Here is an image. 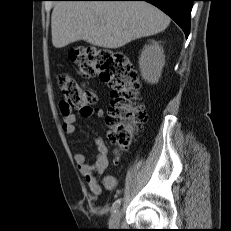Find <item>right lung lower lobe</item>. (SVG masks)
I'll return each instance as SVG.
<instances>
[{
	"instance_id": "right-lung-lower-lobe-1",
	"label": "right lung lower lobe",
	"mask_w": 231,
	"mask_h": 231,
	"mask_svg": "<svg viewBox=\"0 0 231 231\" xmlns=\"http://www.w3.org/2000/svg\"><path fill=\"white\" fill-rule=\"evenodd\" d=\"M88 1H147L170 16L184 31L190 32V15L195 0H88Z\"/></svg>"
}]
</instances>
